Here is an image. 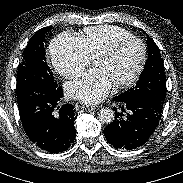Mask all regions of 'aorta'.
<instances>
[{
  "label": "aorta",
  "instance_id": "obj_1",
  "mask_svg": "<svg viewBox=\"0 0 183 183\" xmlns=\"http://www.w3.org/2000/svg\"><path fill=\"white\" fill-rule=\"evenodd\" d=\"M99 120L104 124H110L114 120V111L109 108H102L98 113Z\"/></svg>",
  "mask_w": 183,
  "mask_h": 183
}]
</instances>
